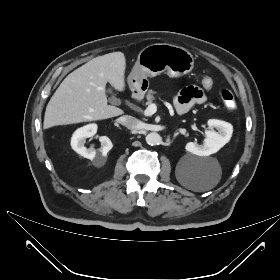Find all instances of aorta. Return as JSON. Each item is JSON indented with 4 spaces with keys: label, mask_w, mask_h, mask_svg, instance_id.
Returning a JSON list of instances; mask_svg holds the SVG:
<instances>
[{
    "label": "aorta",
    "mask_w": 280,
    "mask_h": 280,
    "mask_svg": "<svg viewBox=\"0 0 280 280\" xmlns=\"http://www.w3.org/2000/svg\"><path fill=\"white\" fill-rule=\"evenodd\" d=\"M145 140H146L147 144L153 146V145H157L160 143L161 137L156 132H150L146 135Z\"/></svg>",
    "instance_id": "obj_1"
}]
</instances>
